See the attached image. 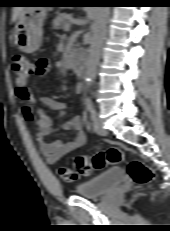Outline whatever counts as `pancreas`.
I'll return each instance as SVG.
<instances>
[{
	"instance_id": "cf45deb5",
	"label": "pancreas",
	"mask_w": 170,
	"mask_h": 231,
	"mask_svg": "<svg viewBox=\"0 0 170 231\" xmlns=\"http://www.w3.org/2000/svg\"><path fill=\"white\" fill-rule=\"evenodd\" d=\"M69 15L66 13L58 14L52 21V26L56 29L64 28L65 24L68 23Z\"/></svg>"
}]
</instances>
